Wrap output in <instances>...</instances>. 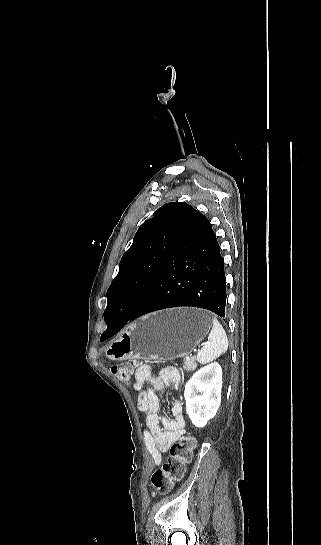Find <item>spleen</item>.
I'll list each match as a JSON object with an SVG mask.
<instances>
[{"label": "spleen", "instance_id": "3e777b00", "mask_svg": "<svg viewBox=\"0 0 321 545\" xmlns=\"http://www.w3.org/2000/svg\"><path fill=\"white\" fill-rule=\"evenodd\" d=\"M212 329L209 333L208 343L197 353V361L201 365L212 363L220 355H224L228 349L227 335L217 319H212Z\"/></svg>", "mask_w": 321, "mask_h": 545}]
</instances>
